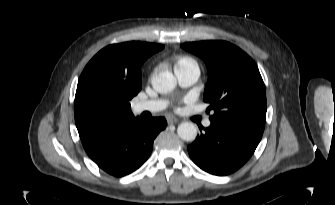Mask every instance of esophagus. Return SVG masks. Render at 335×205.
Segmentation results:
<instances>
[{
	"label": "esophagus",
	"mask_w": 335,
	"mask_h": 205,
	"mask_svg": "<svg viewBox=\"0 0 335 205\" xmlns=\"http://www.w3.org/2000/svg\"><path fill=\"white\" fill-rule=\"evenodd\" d=\"M167 122H168V124H175V123L178 122V119L175 118V117H168Z\"/></svg>",
	"instance_id": "esophagus-1"
}]
</instances>
